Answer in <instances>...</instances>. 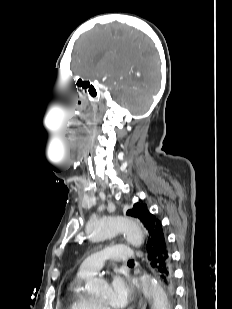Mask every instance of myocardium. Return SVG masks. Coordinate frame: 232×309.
Masks as SVG:
<instances>
[{
  "instance_id": "f54148a6",
  "label": "myocardium",
  "mask_w": 232,
  "mask_h": 309,
  "mask_svg": "<svg viewBox=\"0 0 232 309\" xmlns=\"http://www.w3.org/2000/svg\"><path fill=\"white\" fill-rule=\"evenodd\" d=\"M96 304L98 305L99 309H110L108 305L101 304L100 302H96Z\"/></svg>"
}]
</instances>
